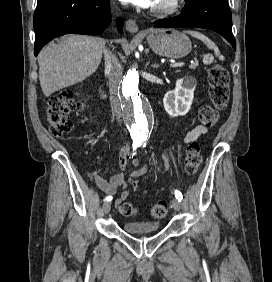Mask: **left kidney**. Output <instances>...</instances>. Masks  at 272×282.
Wrapping results in <instances>:
<instances>
[{"instance_id":"1","label":"left kidney","mask_w":272,"mask_h":282,"mask_svg":"<svg viewBox=\"0 0 272 282\" xmlns=\"http://www.w3.org/2000/svg\"><path fill=\"white\" fill-rule=\"evenodd\" d=\"M196 80L194 78L178 79L176 88L165 94L163 104L165 111L171 117L186 115L194 99Z\"/></svg>"}]
</instances>
